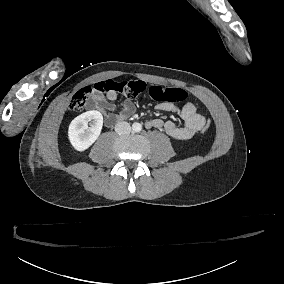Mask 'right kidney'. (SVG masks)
Segmentation results:
<instances>
[{
  "mask_svg": "<svg viewBox=\"0 0 284 284\" xmlns=\"http://www.w3.org/2000/svg\"><path fill=\"white\" fill-rule=\"evenodd\" d=\"M90 124V128H88ZM103 127V116L97 110H91L75 117L68 128V140L74 150L83 152L99 138Z\"/></svg>",
  "mask_w": 284,
  "mask_h": 284,
  "instance_id": "ca27d5eb",
  "label": "right kidney"
}]
</instances>
